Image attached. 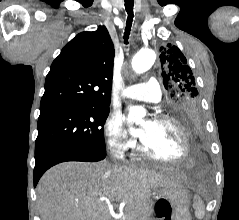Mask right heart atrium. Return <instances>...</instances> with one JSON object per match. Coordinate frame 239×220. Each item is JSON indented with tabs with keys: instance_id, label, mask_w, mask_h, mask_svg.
I'll list each match as a JSON object with an SVG mask.
<instances>
[{
	"instance_id": "right-heart-atrium-1",
	"label": "right heart atrium",
	"mask_w": 239,
	"mask_h": 220,
	"mask_svg": "<svg viewBox=\"0 0 239 220\" xmlns=\"http://www.w3.org/2000/svg\"><path fill=\"white\" fill-rule=\"evenodd\" d=\"M104 130L107 145L114 155L122 157L134 147V142L126 136L124 118L118 112H113L108 116Z\"/></svg>"
}]
</instances>
